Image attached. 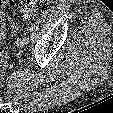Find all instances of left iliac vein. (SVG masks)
<instances>
[{"label":"left iliac vein","instance_id":"1","mask_svg":"<svg viewBox=\"0 0 113 113\" xmlns=\"http://www.w3.org/2000/svg\"><path fill=\"white\" fill-rule=\"evenodd\" d=\"M26 42H27V38H19L18 40H17V46L19 47V48H22V47H24L25 45H26Z\"/></svg>","mask_w":113,"mask_h":113}]
</instances>
